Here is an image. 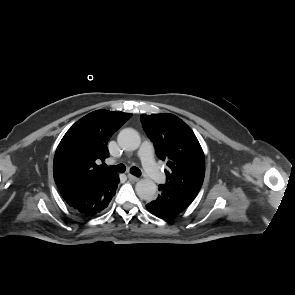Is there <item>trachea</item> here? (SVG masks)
<instances>
[{
  "mask_svg": "<svg viewBox=\"0 0 295 295\" xmlns=\"http://www.w3.org/2000/svg\"><path fill=\"white\" fill-rule=\"evenodd\" d=\"M111 168L117 172H125L126 167L124 164H119V165H115V166H111ZM130 173L133 174L134 176H141V171L139 168L133 166L130 168Z\"/></svg>",
  "mask_w": 295,
  "mask_h": 295,
  "instance_id": "obj_1",
  "label": "trachea"
}]
</instances>
